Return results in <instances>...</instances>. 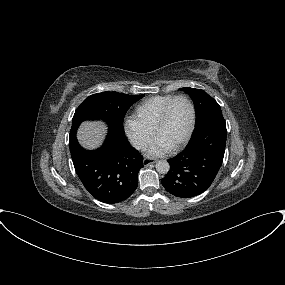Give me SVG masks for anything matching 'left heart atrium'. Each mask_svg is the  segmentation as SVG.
<instances>
[{"mask_svg": "<svg viewBox=\"0 0 285 285\" xmlns=\"http://www.w3.org/2000/svg\"><path fill=\"white\" fill-rule=\"evenodd\" d=\"M170 149L171 146L168 143L156 136L149 148L148 153L151 156H161L170 151Z\"/></svg>", "mask_w": 285, "mask_h": 285, "instance_id": "1", "label": "left heart atrium"}]
</instances>
